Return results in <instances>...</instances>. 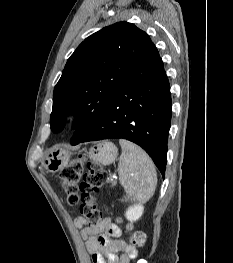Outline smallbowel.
Segmentation results:
<instances>
[{"label":"small bowel","instance_id":"obj_1","mask_svg":"<svg viewBox=\"0 0 233 263\" xmlns=\"http://www.w3.org/2000/svg\"><path fill=\"white\" fill-rule=\"evenodd\" d=\"M74 224L81 229L92 263H130L137 257L136 249L121 238V229L109 218L90 226L80 216L75 218Z\"/></svg>","mask_w":233,"mask_h":263}]
</instances>
